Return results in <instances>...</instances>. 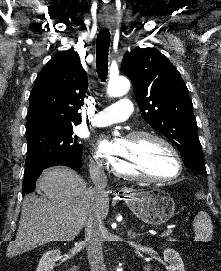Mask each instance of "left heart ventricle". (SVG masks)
<instances>
[{
  "mask_svg": "<svg viewBox=\"0 0 221 271\" xmlns=\"http://www.w3.org/2000/svg\"><path fill=\"white\" fill-rule=\"evenodd\" d=\"M156 138L134 141L137 156H120L113 167L118 175H148V177H177L176 166H171L174 153L170 147L157 144Z\"/></svg>",
  "mask_w": 221,
  "mask_h": 271,
  "instance_id": "obj_1",
  "label": "left heart ventricle"
}]
</instances>
